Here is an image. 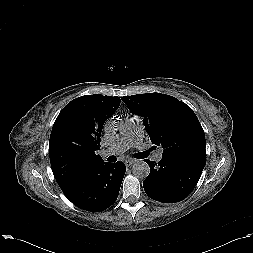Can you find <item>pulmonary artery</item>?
I'll return each instance as SVG.
<instances>
[{
    "label": "pulmonary artery",
    "instance_id": "obj_1",
    "mask_svg": "<svg viewBox=\"0 0 253 253\" xmlns=\"http://www.w3.org/2000/svg\"><path fill=\"white\" fill-rule=\"evenodd\" d=\"M125 129L123 137L102 152L104 157L121 154L130 147L141 143L143 138V124L138 117H127L125 120ZM162 156V149H158L154 152L153 158L156 161H160Z\"/></svg>",
    "mask_w": 253,
    "mask_h": 253
}]
</instances>
